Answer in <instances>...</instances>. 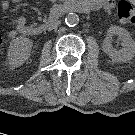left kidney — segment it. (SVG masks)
I'll use <instances>...</instances> for the list:
<instances>
[{
  "label": "left kidney",
  "instance_id": "1",
  "mask_svg": "<svg viewBox=\"0 0 135 135\" xmlns=\"http://www.w3.org/2000/svg\"><path fill=\"white\" fill-rule=\"evenodd\" d=\"M113 35H118L122 41V48L119 50L115 49L111 44ZM102 49L113 61L123 63L135 56V41L126 29L119 26H111L107 30V36L102 43Z\"/></svg>",
  "mask_w": 135,
  "mask_h": 135
}]
</instances>
